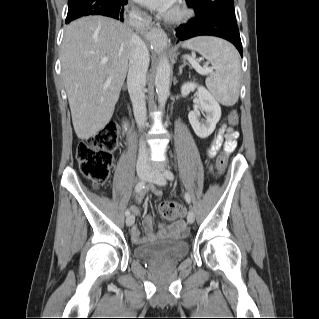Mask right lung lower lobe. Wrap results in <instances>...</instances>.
Listing matches in <instances>:
<instances>
[{
  "label": "right lung lower lobe",
  "instance_id": "obj_1",
  "mask_svg": "<svg viewBox=\"0 0 319 319\" xmlns=\"http://www.w3.org/2000/svg\"><path fill=\"white\" fill-rule=\"evenodd\" d=\"M127 1L128 0H114V2L110 5L98 7L96 9L89 11L87 14L81 16L103 15L123 21V5H125ZM69 22L70 21H66V23Z\"/></svg>",
  "mask_w": 319,
  "mask_h": 319
}]
</instances>
